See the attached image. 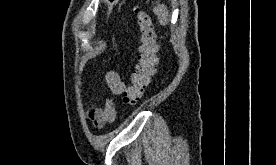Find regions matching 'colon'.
<instances>
[{"instance_id":"1","label":"colon","mask_w":276,"mask_h":165,"mask_svg":"<svg viewBox=\"0 0 276 165\" xmlns=\"http://www.w3.org/2000/svg\"><path fill=\"white\" fill-rule=\"evenodd\" d=\"M136 15L139 28V56L131 75V83L124 92L123 101L127 105H135L142 99L158 65L157 35L152 20L140 9H136Z\"/></svg>"}]
</instances>
